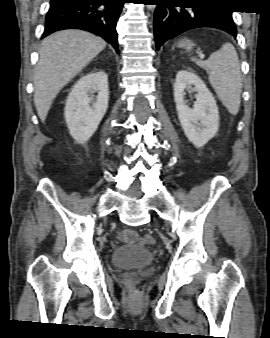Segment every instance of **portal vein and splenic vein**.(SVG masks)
Segmentation results:
<instances>
[{"instance_id":"18ae733b","label":"portal vein and splenic vein","mask_w":270,"mask_h":338,"mask_svg":"<svg viewBox=\"0 0 270 338\" xmlns=\"http://www.w3.org/2000/svg\"><path fill=\"white\" fill-rule=\"evenodd\" d=\"M204 58H205L204 54H200V59H204Z\"/></svg>"}]
</instances>
